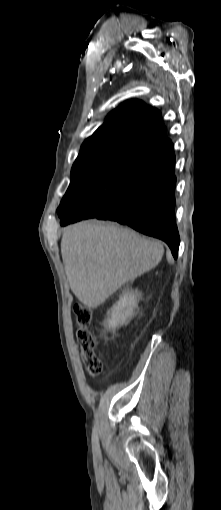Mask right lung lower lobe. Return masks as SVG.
<instances>
[{"label": "right lung lower lobe", "instance_id": "obj_1", "mask_svg": "<svg viewBox=\"0 0 221 510\" xmlns=\"http://www.w3.org/2000/svg\"><path fill=\"white\" fill-rule=\"evenodd\" d=\"M174 165L175 155L170 143L151 154L114 207L91 213L80 204L70 215L60 217L61 224L87 218L117 221L163 240L176 259L180 238L175 220Z\"/></svg>", "mask_w": 221, "mask_h": 510}]
</instances>
